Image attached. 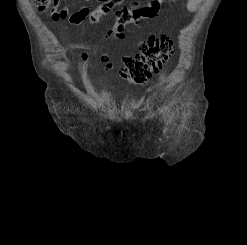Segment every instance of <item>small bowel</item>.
Masks as SVG:
<instances>
[{
    "instance_id": "1",
    "label": "small bowel",
    "mask_w": 247,
    "mask_h": 245,
    "mask_svg": "<svg viewBox=\"0 0 247 245\" xmlns=\"http://www.w3.org/2000/svg\"><path fill=\"white\" fill-rule=\"evenodd\" d=\"M164 1L174 2L175 0H150V2L144 6L138 4L133 5L131 8H122L117 12L116 22L112 30L116 33V37L123 38V29L129 22L137 21L142 18L155 17L160 9L161 4ZM202 0H187L186 8L188 12H195L201 6ZM60 0H53L52 18L56 21L67 19L71 24H81L90 14L88 7H83L74 13H70L67 7L59 8ZM88 59V53L84 52L81 55V60L86 61Z\"/></svg>"
}]
</instances>
